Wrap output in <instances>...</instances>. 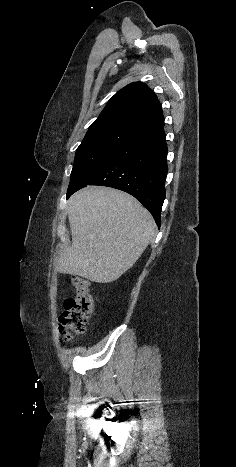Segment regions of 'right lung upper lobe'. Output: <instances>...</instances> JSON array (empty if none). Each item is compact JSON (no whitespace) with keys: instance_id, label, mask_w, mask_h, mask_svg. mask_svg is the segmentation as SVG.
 <instances>
[{"instance_id":"obj_1","label":"right lung upper lobe","mask_w":236,"mask_h":467,"mask_svg":"<svg viewBox=\"0 0 236 467\" xmlns=\"http://www.w3.org/2000/svg\"><path fill=\"white\" fill-rule=\"evenodd\" d=\"M164 123V116L155 93L144 83L128 84L107 103L89 127L118 126L138 133Z\"/></svg>"}]
</instances>
